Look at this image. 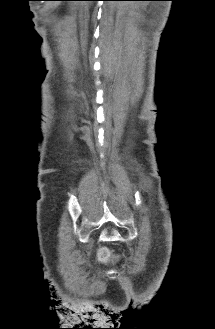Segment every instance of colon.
Wrapping results in <instances>:
<instances>
[{
  "instance_id": "obj_1",
  "label": "colon",
  "mask_w": 215,
  "mask_h": 329,
  "mask_svg": "<svg viewBox=\"0 0 215 329\" xmlns=\"http://www.w3.org/2000/svg\"><path fill=\"white\" fill-rule=\"evenodd\" d=\"M108 257V252L105 249L99 251V259L104 261Z\"/></svg>"
}]
</instances>
